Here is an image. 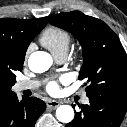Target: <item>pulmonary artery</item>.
Segmentation results:
<instances>
[{
    "instance_id": "pulmonary-artery-1",
    "label": "pulmonary artery",
    "mask_w": 127,
    "mask_h": 127,
    "mask_svg": "<svg viewBox=\"0 0 127 127\" xmlns=\"http://www.w3.org/2000/svg\"><path fill=\"white\" fill-rule=\"evenodd\" d=\"M56 59L58 62L62 63L66 60V55H60L56 57ZM38 85L39 83L37 81L23 80L16 83L15 90L18 92L24 91V90H33L37 88ZM81 102L86 104L88 102V97L84 95L81 99Z\"/></svg>"
}]
</instances>
